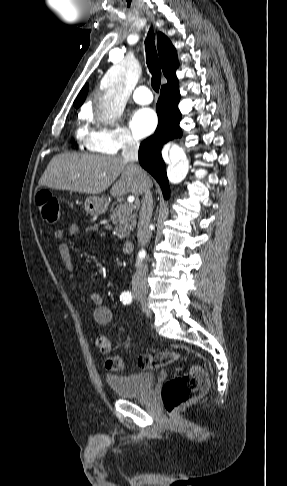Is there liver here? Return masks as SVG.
I'll list each match as a JSON object with an SVG mask.
<instances>
[{
    "label": "liver",
    "instance_id": "liver-1",
    "mask_svg": "<svg viewBox=\"0 0 287 486\" xmlns=\"http://www.w3.org/2000/svg\"><path fill=\"white\" fill-rule=\"evenodd\" d=\"M123 157L64 153L55 155L39 180V186L86 194H99L113 184L114 197L139 196L152 181L146 172Z\"/></svg>",
    "mask_w": 287,
    "mask_h": 486
}]
</instances>
